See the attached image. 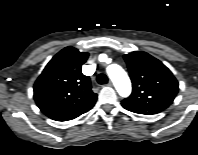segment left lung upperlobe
Returning a JSON list of instances; mask_svg holds the SVG:
<instances>
[{
  "label": "left lung upper lobe",
  "instance_id": "obj_1",
  "mask_svg": "<svg viewBox=\"0 0 198 155\" xmlns=\"http://www.w3.org/2000/svg\"><path fill=\"white\" fill-rule=\"evenodd\" d=\"M132 81V94L122 106L134 113L151 115L166 109L178 92V82L171 71L146 52L124 55Z\"/></svg>",
  "mask_w": 198,
  "mask_h": 155
}]
</instances>
